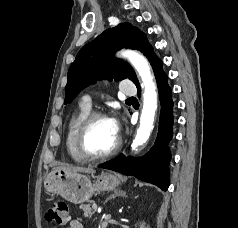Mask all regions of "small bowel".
Segmentation results:
<instances>
[{"instance_id": "c3829d8e", "label": "small bowel", "mask_w": 238, "mask_h": 228, "mask_svg": "<svg viewBox=\"0 0 238 228\" xmlns=\"http://www.w3.org/2000/svg\"><path fill=\"white\" fill-rule=\"evenodd\" d=\"M53 228H59L58 226H54ZM68 228H84L83 224L77 219H71Z\"/></svg>"}]
</instances>
